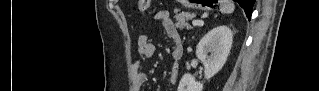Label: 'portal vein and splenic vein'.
Here are the masks:
<instances>
[{
	"instance_id": "obj_1",
	"label": "portal vein and splenic vein",
	"mask_w": 319,
	"mask_h": 91,
	"mask_svg": "<svg viewBox=\"0 0 319 91\" xmlns=\"http://www.w3.org/2000/svg\"><path fill=\"white\" fill-rule=\"evenodd\" d=\"M192 25H193V26H203V25H204V22H203V21H200V20H193V21H192Z\"/></svg>"
}]
</instances>
